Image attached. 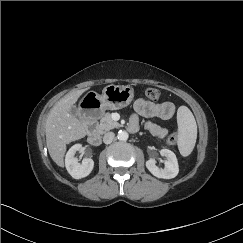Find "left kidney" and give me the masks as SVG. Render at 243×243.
I'll list each match as a JSON object with an SVG mask.
<instances>
[{
	"label": "left kidney",
	"mask_w": 243,
	"mask_h": 243,
	"mask_svg": "<svg viewBox=\"0 0 243 243\" xmlns=\"http://www.w3.org/2000/svg\"><path fill=\"white\" fill-rule=\"evenodd\" d=\"M160 154L166 158L165 167L159 168L156 166L155 159H149L146 161L147 169L157 178L171 179L176 177L179 172L176 155L169 149H161Z\"/></svg>",
	"instance_id": "1"
}]
</instances>
